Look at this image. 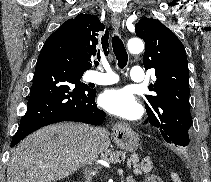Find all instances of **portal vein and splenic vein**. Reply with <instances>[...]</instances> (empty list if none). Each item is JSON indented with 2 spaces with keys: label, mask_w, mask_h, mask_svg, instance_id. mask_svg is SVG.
Returning <instances> with one entry per match:
<instances>
[{
  "label": "portal vein and splenic vein",
  "mask_w": 211,
  "mask_h": 182,
  "mask_svg": "<svg viewBox=\"0 0 211 182\" xmlns=\"http://www.w3.org/2000/svg\"><path fill=\"white\" fill-rule=\"evenodd\" d=\"M118 173L119 174H123V170L122 169H118Z\"/></svg>",
  "instance_id": "portal-vein-and-splenic-vein-1"
}]
</instances>
